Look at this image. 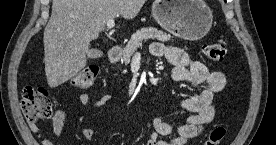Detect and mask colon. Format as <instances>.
Listing matches in <instances>:
<instances>
[{
  "instance_id": "colon-1",
  "label": "colon",
  "mask_w": 276,
  "mask_h": 145,
  "mask_svg": "<svg viewBox=\"0 0 276 145\" xmlns=\"http://www.w3.org/2000/svg\"><path fill=\"white\" fill-rule=\"evenodd\" d=\"M202 51L205 57L213 63H222L226 55V47L220 43L206 44ZM97 75V67L88 65L72 76L70 84L78 88H88L93 85ZM21 96V109L30 123L48 120L53 115L51 96L47 89L27 86L22 90ZM225 135L226 128L217 125L210 131L204 145H220Z\"/></svg>"
}]
</instances>
